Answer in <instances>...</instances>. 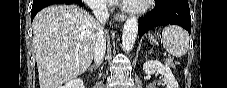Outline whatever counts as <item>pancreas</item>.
I'll use <instances>...</instances> for the list:
<instances>
[{
	"label": "pancreas",
	"instance_id": "1",
	"mask_svg": "<svg viewBox=\"0 0 227 88\" xmlns=\"http://www.w3.org/2000/svg\"><path fill=\"white\" fill-rule=\"evenodd\" d=\"M166 64L167 65H169L171 68H175L176 67V65H175V63H174V61H173V59H167L166 60Z\"/></svg>",
	"mask_w": 227,
	"mask_h": 88
}]
</instances>
